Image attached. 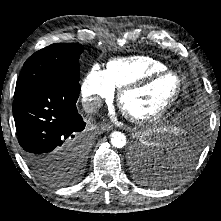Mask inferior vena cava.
Here are the masks:
<instances>
[{
    "mask_svg": "<svg viewBox=\"0 0 221 221\" xmlns=\"http://www.w3.org/2000/svg\"><path fill=\"white\" fill-rule=\"evenodd\" d=\"M83 109L86 113L92 114L102 106V102L99 98H88L82 102Z\"/></svg>",
    "mask_w": 221,
    "mask_h": 221,
    "instance_id": "inferior-vena-cava-1",
    "label": "inferior vena cava"
}]
</instances>
